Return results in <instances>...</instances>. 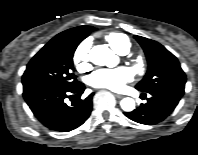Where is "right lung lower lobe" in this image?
I'll list each match as a JSON object with an SVG mask.
<instances>
[{
	"mask_svg": "<svg viewBox=\"0 0 198 155\" xmlns=\"http://www.w3.org/2000/svg\"><path fill=\"white\" fill-rule=\"evenodd\" d=\"M85 86L78 82L64 87L51 83H30L23 85V96L35 117L47 128L59 132H69L82 125L92 111L93 93L85 99L80 96ZM77 97L71 105L64 99Z\"/></svg>",
	"mask_w": 198,
	"mask_h": 155,
	"instance_id": "1",
	"label": "right lung lower lobe"
}]
</instances>
